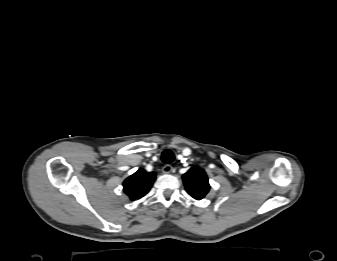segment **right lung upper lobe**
I'll return each mask as SVG.
<instances>
[{
	"label": "right lung upper lobe",
	"mask_w": 337,
	"mask_h": 261,
	"mask_svg": "<svg viewBox=\"0 0 337 261\" xmlns=\"http://www.w3.org/2000/svg\"><path fill=\"white\" fill-rule=\"evenodd\" d=\"M155 179L156 173L139 169L123 182V191L131 200L140 199L149 192Z\"/></svg>",
	"instance_id": "right-lung-upper-lobe-1"
}]
</instances>
